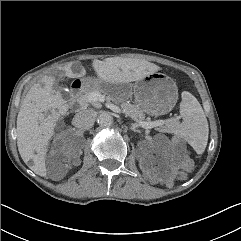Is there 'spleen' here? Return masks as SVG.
I'll list each match as a JSON object with an SVG mask.
<instances>
[{"label": "spleen", "mask_w": 241, "mask_h": 241, "mask_svg": "<svg viewBox=\"0 0 241 241\" xmlns=\"http://www.w3.org/2000/svg\"><path fill=\"white\" fill-rule=\"evenodd\" d=\"M180 114L183 122L171 132L188 142L198 154H202L208 142V122L198 100L187 91L182 92Z\"/></svg>", "instance_id": "3e777b00"}]
</instances>
